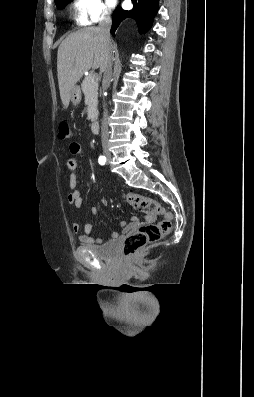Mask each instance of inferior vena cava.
<instances>
[{
  "label": "inferior vena cava",
  "mask_w": 254,
  "mask_h": 397,
  "mask_svg": "<svg viewBox=\"0 0 254 397\" xmlns=\"http://www.w3.org/2000/svg\"><path fill=\"white\" fill-rule=\"evenodd\" d=\"M110 28H111V18L108 14H103V17L99 23V31L103 42L105 43V45L108 47L109 50L107 55V64L104 69L103 88L105 90L110 86L112 80L113 51L111 50ZM108 140H109V129H108L107 111H106L104 112L102 126H101V142H102L103 150H107Z\"/></svg>",
  "instance_id": "602c4592"
}]
</instances>
